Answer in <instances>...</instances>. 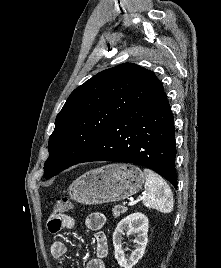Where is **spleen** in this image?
<instances>
[{
  "label": "spleen",
  "mask_w": 221,
  "mask_h": 268,
  "mask_svg": "<svg viewBox=\"0 0 221 268\" xmlns=\"http://www.w3.org/2000/svg\"><path fill=\"white\" fill-rule=\"evenodd\" d=\"M146 195L143 204L162 213L173 210V195L166 181L150 169H144Z\"/></svg>",
  "instance_id": "obj_1"
}]
</instances>
